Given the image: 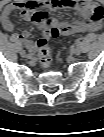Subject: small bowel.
Listing matches in <instances>:
<instances>
[{"label": "small bowel", "mask_w": 104, "mask_h": 137, "mask_svg": "<svg viewBox=\"0 0 104 137\" xmlns=\"http://www.w3.org/2000/svg\"><path fill=\"white\" fill-rule=\"evenodd\" d=\"M39 8L54 10V9H70L78 16L84 17V20L75 21L71 24H61L57 20L50 22L54 24L62 35H72L74 33H83L88 31L98 30L101 26L103 18V9L100 5L92 0H27L12 2L5 6L1 23L6 31L14 29L12 15L15 12H21L22 18L27 21H33V14ZM43 30L45 25H39ZM30 32L24 30L17 34L18 40L23 42L29 49H33V43L29 40Z\"/></svg>", "instance_id": "c3829d8e"}]
</instances>
